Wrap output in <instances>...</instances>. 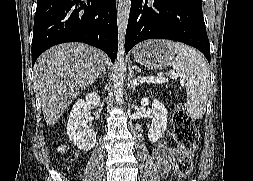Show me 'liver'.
Wrapping results in <instances>:
<instances>
[{
    "mask_svg": "<svg viewBox=\"0 0 253 181\" xmlns=\"http://www.w3.org/2000/svg\"><path fill=\"white\" fill-rule=\"evenodd\" d=\"M104 68V53L84 43L61 44L45 51L34 66V85L46 124L54 125Z\"/></svg>",
    "mask_w": 253,
    "mask_h": 181,
    "instance_id": "liver-1",
    "label": "liver"
}]
</instances>
